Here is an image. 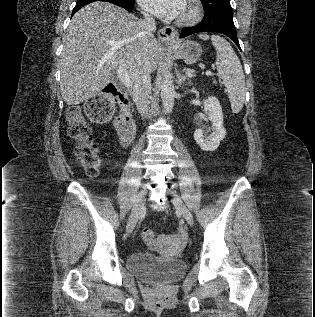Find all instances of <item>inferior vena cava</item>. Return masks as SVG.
Masks as SVG:
<instances>
[{
    "mask_svg": "<svg viewBox=\"0 0 315 317\" xmlns=\"http://www.w3.org/2000/svg\"><path fill=\"white\" fill-rule=\"evenodd\" d=\"M143 34L146 39L153 38V33L156 30V23L154 18L149 13H144V20H142ZM133 101L139 113L146 117L149 111V98L151 94V76L150 71L145 69L133 80Z\"/></svg>",
    "mask_w": 315,
    "mask_h": 317,
    "instance_id": "1",
    "label": "inferior vena cava"
}]
</instances>
